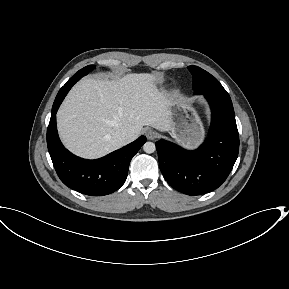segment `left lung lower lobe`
<instances>
[{
    "label": "left lung lower lobe",
    "mask_w": 289,
    "mask_h": 289,
    "mask_svg": "<svg viewBox=\"0 0 289 289\" xmlns=\"http://www.w3.org/2000/svg\"><path fill=\"white\" fill-rule=\"evenodd\" d=\"M203 95L212 111L208 138L203 145L188 151L163 139L156 142L163 177L174 189L187 195L208 193L221 186L239 151V135L230 97Z\"/></svg>",
    "instance_id": "0a47b994"
}]
</instances>
